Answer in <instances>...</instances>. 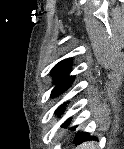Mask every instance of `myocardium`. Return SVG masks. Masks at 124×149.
<instances>
[{
	"instance_id": "obj_1",
	"label": "myocardium",
	"mask_w": 124,
	"mask_h": 149,
	"mask_svg": "<svg viewBox=\"0 0 124 149\" xmlns=\"http://www.w3.org/2000/svg\"><path fill=\"white\" fill-rule=\"evenodd\" d=\"M71 116V113H66L53 119L49 125L50 136L54 138L61 136L68 129V121Z\"/></svg>"
}]
</instances>
